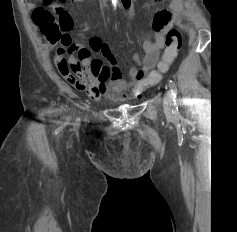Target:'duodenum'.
<instances>
[{
	"mask_svg": "<svg viewBox=\"0 0 237 232\" xmlns=\"http://www.w3.org/2000/svg\"><path fill=\"white\" fill-rule=\"evenodd\" d=\"M131 0H121L123 6L128 7L130 5Z\"/></svg>",
	"mask_w": 237,
	"mask_h": 232,
	"instance_id": "1",
	"label": "duodenum"
}]
</instances>
